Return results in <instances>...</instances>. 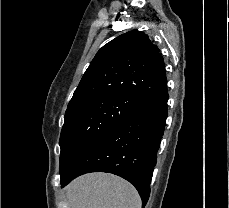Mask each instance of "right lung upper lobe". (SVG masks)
<instances>
[{"label":"right lung upper lobe","mask_w":229,"mask_h":208,"mask_svg":"<svg viewBox=\"0 0 229 208\" xmlns=\"http://www.w3.org/2000/svg\"><path fill=\"white\" fill-rule=\"evenodd\" d=\"M159 51L141 31L116 37L97 52L67 110L105 95L127 96L142 104L156 97L167 89L165 64Z\"/></svg>","instance_id":"cb5924a9"}]
</instances>
